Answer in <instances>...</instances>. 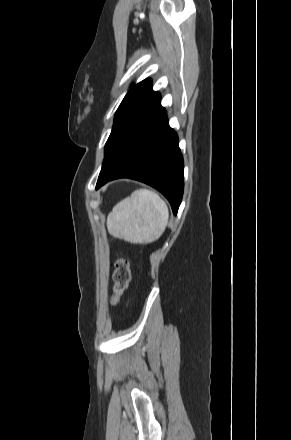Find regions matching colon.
I'll list each match as a JSON object with an SVG mask.
<instances>
[{"label": "colon", "instance_id": "1", "mask_svg": "<svg viewBox=\"0 0 291 440\" xmlns=\"http://www.w3.org/2000/svg\"><path fill=\"white\" fill-rule=\"evenodd\" d=\"M129 279H130L129 264L125 259L119 257L115 262V271H114L115 287H114V294L112 297L113 303L117 302L119 296L126 289Z\"/></svg>", "mask_w": 291, "mask_h": 440}]
</instances>
